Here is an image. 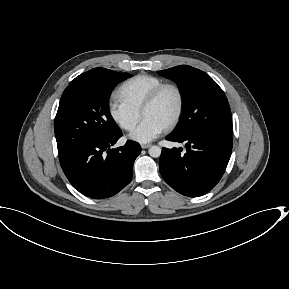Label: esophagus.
Listing matches in <instances>:
<instances>
[{
  "instance_id": "34e87169",
  "label": "esophagus",
  "mask_w": 289,
  "mask_h": 289,
  "mask_svg": "<svg viewBox=\"0 0 289 289\" xmlns=\"http://www.w3.org/2000/svg\"><path fill=\"white\" fill-rule=\"evenodd\" d=\"M149 147H151V144H142V145H141V148H142V149H147V148H149Z\"/></svg>"
}]
</instances>
